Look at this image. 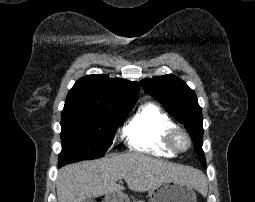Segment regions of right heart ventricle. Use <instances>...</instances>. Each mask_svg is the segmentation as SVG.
I'll use <instances>...</instances> for the list:
<instances>
[{"label":"right heart ventricle","instance_id":"right-heart-ventricle-1","mask_svg":"<svg viewBox=\"0 0 255 202\" xmlns=\"http://www.w3.org/2000/svg\"><path fill=\"white\" fill-rule=\"evenodd\" d=\"M172 119L152 102L142 105L127 121L122 136L127 145L136 151L162 157H173L175 152L164 141L166 132L174 127Z\"/></svg>","mask_w":255,"mask_h":202}]
</instances>
